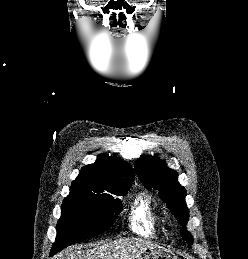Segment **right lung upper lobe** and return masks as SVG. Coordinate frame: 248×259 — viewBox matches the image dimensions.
<instances>
[{
  "instance_id": "right-lung-upper-lobe-1",
  "label": "right lung upper lobe",
  "mask_w": 248,
  "mask_h": 259,
  "mask_svg": "<svg viewBox=\"0 0 248 259\" xmlns=\"http://www.w3.org/2000/svg\"><path fill=\"white\" fill-rule=\"evenodd\" d=\"M134 171L127 162L99 155L94 164L84 166L70 190L114 192L131 187Z\"/></svg>"
}]
</instances>
